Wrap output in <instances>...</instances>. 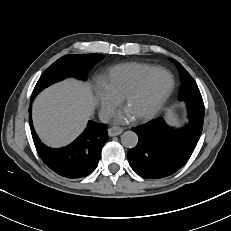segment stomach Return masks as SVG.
<instances>
[{
  "mask_svg": "<svg viewBox=\"0 0 231 231\" xmlns=\"http://www.w3.org/2000/svg\"><path fill=\"white\" fill-rule=\"evenodd\" d=\"M166 120L171 125H177L179 122L177 114L172 109L168 110Z\"/></svg>",
  "mask_w": 231,
  "mask_h": 231,
  "instance_id": "1",
  "label": "stomach"
}]
</instances>
